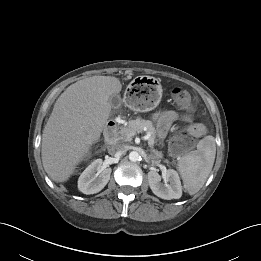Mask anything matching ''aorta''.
Wrapping results in <instances>:
<instances>
[{"label": "aorta", "mask_w": 261, "mask_h": 261, "mask_svg": "<svg viewBox=\"0 0 261 261\" xmlns=\"http://www.w3.org/2000/svg\"><path fill=\"white\" fill-rule=\"evenodd\" d=\"M140 155L136 151H132L129 153V160L132 162H136L139 159Z\"/></svg>", "instance_id": "aorta-1"}]
</instances>
